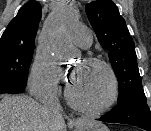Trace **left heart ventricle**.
I'll use <instances>...</instances> for the list:
<instances>
[{"label": "left heart ventricle", "mask_w": 151, "mask_h": 131, "mask_svg": "<svg viewBox=\"0 0 151 131\" xmlns=\"http://www.w3.org/2000/svg\"><path fill=\"white\" fill-rule=\"evenodd\" d=\"M69 87L79 101L88 105H98L109 95L110 80L103 68L80 63L73 71Z\"/></svg>", "instance_id": "left-heart-ventricle-1"}]
</instances>
